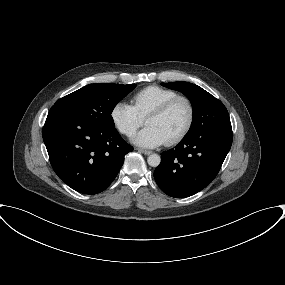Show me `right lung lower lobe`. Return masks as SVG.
I'll list each match as a JSON object with an SVG mask.
<instances>
[{"label":"right lung lower lobe","mask_w":285,"mask_h":285,"mask_svg":"<svg viewBox=\"0 0 285 285\" xmlns=\"http://www.w3.org/2000/svg\"><path fill=\"white\" fill-rule=\"evenodd\" d=\"M42 134L55 173L84 194L105 190L133 150L115 128H99L61 109H50Z\"/></svg>","instance_id":"right-lung-lower-lobe-1"}]
</instances>
